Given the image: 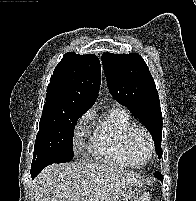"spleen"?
I'll list each match as a JSON object with an SVG mask.
<instances>
[{"instance_id": "3e777b00", "label": "spleen", "mask_w": 196, "mask_h": 201, "mask_svg": "<svg viewBox=\"0 0 196 201\" xmlns=\"http://www.w3.org/2000/svg\"><path fill=\"white\" fill-rule=\"evenodd\" d=\"M148 195H149V194H146V195H145V198H146V199H148Z\"/></svg>"}]
</instances>
